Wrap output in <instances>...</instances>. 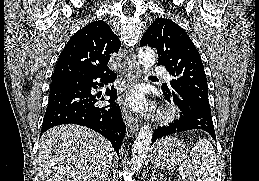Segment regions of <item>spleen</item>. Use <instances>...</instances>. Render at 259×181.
<instances>
[{
  "label": "spleen",
  "mask_w": 259,
  "mask_h": 181,
  "mask_svg": "<svg viewBox=\"0 0 259 181\" xmlns=\"http://www.w3.org/2000/svg\"><path fill=\"white\" fill-rule=\"evenodd\" d=\"M190 156L192 161L185 165V172L190 181H216L215 150L209 140L199 138Z\"/></svg>",
  "instance_id": "1"
}]
</instances>
